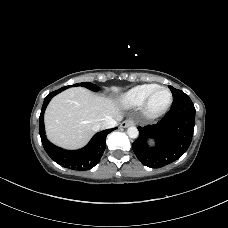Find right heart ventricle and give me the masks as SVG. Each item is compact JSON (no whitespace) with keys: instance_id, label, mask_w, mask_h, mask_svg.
Returning a JSON list of instances; mask_svg holds the SVG:
<instances>
[{"instance_id":"1","label":"right heart ventricle","mask_w":228,"mask_h":228,"mask_svg":"<svg viewBox=\"0 0 228 228\" xmlns=\"http://www.w3.org/2000/svg\"><path fill=\"white\" fill-rule=\"evenodd\" d=\"M158 86L155 83L135 86L122 95L121 103L127 108L140 107L146 97Z\"/></svg>"}]
</instances>
